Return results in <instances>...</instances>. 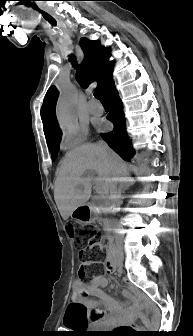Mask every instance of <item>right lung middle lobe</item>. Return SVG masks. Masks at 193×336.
Returning a JSON list of instances; mask_svg holds the SVG:
<instances>
[{"label":"right lung middle lobe","instance_id":"right-lung-middle-lobe-1","mask_svg":"<svg viewBox=\"0 0 193 336\" xmlns=\"http://www.w3.org/2000/svg\"><path fill=\"white\" fill-rule=\"evenodd\" d=\"M60 141H61V135L55 137L51 141L47 143L48 148L51 152L52 160L54 161L57 157L58 151H59V146H60Z\"/></svg>","mask_w":193,"mask_h":336}]
</instances>
